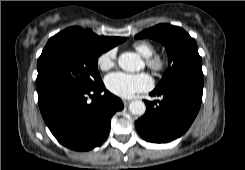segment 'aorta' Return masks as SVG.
I'll return each mask as SVG.
<instances>
[{
	"instance_id": "aorta-1",
	"label": "aorta",
	"mask_w": 245,
	"mask_h": 170,
	"mask_svg": "<svg viewBox=\"0 0 245 170\" xmlns=\"http://www.w3.org/2000/svg\"><path fill=\"white\" fill-rule=\"evenodd\" d=\"M140 57L132 52L122 53L118 58V64L121 69L127 72L138 71L141 68ZM129 110L132 114L142 116L146 111L144 102L140 100H134L129 105Z\"/></svg>"
}]
</instances>
